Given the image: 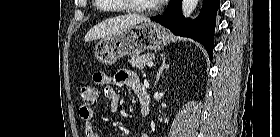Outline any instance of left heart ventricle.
Masks as SVG:
<instances>
[{
    "mask_svg": "<svg viewBox=\"0 0 280 137\" xmlns=\"http://www.w3.org/2000/svg\"><path fill=\"white\" fill-rule=\"evenodd\" d=\"M134 1H135L138 5L144 6V7L149 6V5H151V4L154 3L153 0H134Z\"/></svg>",
    "mask_w": 280,
    "mask_h": 137,
    "instance_id": "1",
    "label": "left heart ventricle"
}]
</instances>
